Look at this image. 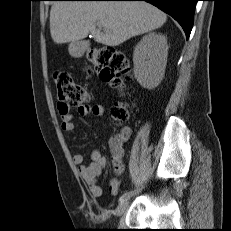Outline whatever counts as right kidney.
<instances>
[{"mask_svg": "<svg viewBox=\"0 0 231 231\" xmlns=\"http://www.w3.org/2000/svg\"><path fill=\"white\" fill-rule=\"evenodd\" d=\"M167 55V39L160 33H149L137 44L133 53L134 75L142 87L153 89L159 85Z\"/></svg>", "mask_w": 231, "mask_h": 231, "instance_id": "obj_1", "label": "right kidney"}]
</instances>
